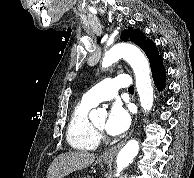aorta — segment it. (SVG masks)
I'll return each instance as SVG.
<instances>
[{
  "label": "aorta",
  "mask_w": 194,
  "mask_h": 178,
  "mask_svg": "<svg viewBox=\"0 0 194 178\" xmlns=\"http://www.w3.org/2000/svg\"><path fill=\"white\" fill-rule=\"evenodd\" d=\"M120 58L125 59L134 71L136 88L142 108L144 111L151 110L153 106V87L151 85L150 65L147 58L138 47L129 43H120L114 45L106 52L102 60V66H111ZM99 113L100 110H93L89 116L92 119ZM138 152L139 142L134 139L129 140L117 155L116 176H119L122 170L133 161Z\"/></svg>",
  "instance_id": "obj_1"
}]
</instances>
